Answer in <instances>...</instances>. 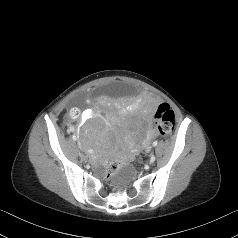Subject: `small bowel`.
Masks as SVG:
<instances>
[{
	"label": "small bowel",
	"mask_w": 238,
	"mask_h": 238,
	"mask_svg": "<svg viewBox=\"0 0 238 238\" xmlns=\"http://www.w3.org/2000/svg\"><path fill=\"white\" fill-rule=\"evenodd\" d=\"M157 107L156 104L153 102V101H147L145 104H144V109H145V112L148 114V115H151L153 114L154 112H156L157 110ZM71 131L74 130L73 127L70 128ZM152 134V131H151V128H148L147 130V136H151Z\"/></svg>",
	"instance_id": "c3829d8e"
}]
</instances>
